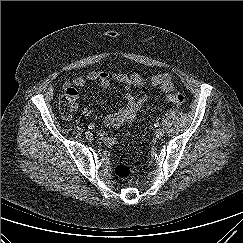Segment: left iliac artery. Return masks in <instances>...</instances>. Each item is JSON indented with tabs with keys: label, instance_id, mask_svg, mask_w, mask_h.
<instances>
[{
	"label": "left iliac artery",
	"instance_id": "left-iliac-artery-1",
	"mask_svg": "<svg viewBox=\"0 0 243 243\" xmlns=\"http://www.w3.org/2000/svg\"><path fill=\"white\" fill-rule=\"evenodd\" d=\"M158 126H159V123H155V124H154V127H158Z\"/></svg>",
	"mask_w": 243,
	"mask_h": 243
}]
</instances>
